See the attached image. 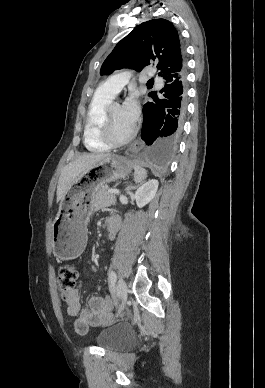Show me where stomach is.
<instances>
[{
	"label": "stomach",
	"mask_w": 265,
	"mask_h": 388,
	"mask_svg": "<svg viewBox=\"0 0 265 388\" xmlns=\"http://www.w3.org/2000/svg\"><path fill=\"white\" fill-rule=\"evenodd\" d=\"M125 157L111 155L90 166L71 183L60 201L52 224V244L55 256L75 259L86 246V223L94 209L93 195L100 185L125 178L132 171Z\"/></svg>",
	"instance_id": "stomach-1"
}]
</instances>
